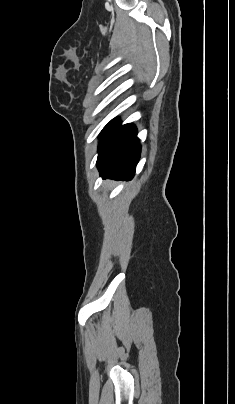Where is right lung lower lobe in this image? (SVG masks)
Segmentation results:
<instances>
[{
    "label": "right lung lower lobe",
    "mask_w": 235,
    "mask_h": 404,
    "mask_svg": "<svg viewBox=\"0 0 235 404\" xmlns=\"http://www.w3.org/2000/svg\"><path fill=\"white\" fill-rule=\"evenodd\" d=\"M97 166L103 178L131 179L140 157L141 146L133 124L109 122L101 133Z\"/></svg>",
    "instance_id": "98d812e1"
}]
</instances>
